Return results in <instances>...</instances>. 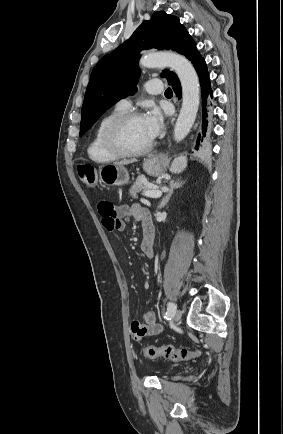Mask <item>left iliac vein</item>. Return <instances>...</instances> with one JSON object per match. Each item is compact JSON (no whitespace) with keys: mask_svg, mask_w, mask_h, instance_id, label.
<instances>
[{"mask_svg":"<svg viewBox=\"0 0 283 434\" xmlns=\"http://www.w3.org/2000/svg\"><path fill=\"white\" fill-rule=\"evenodd\" d=\"M182 318V312L180 310H176L174 313V321L179 322Z\"/></svg>","mask_w":283,"mask_h":434,"instance_id":"4c4485c4","label":"left iliac vein"}]
</instances>
